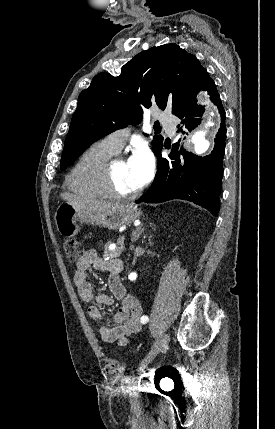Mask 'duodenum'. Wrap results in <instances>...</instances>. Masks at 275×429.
<instances>
[{"label":"duodenum","instance_id":"obj_1","mask_svg":"<svg viewBox=\"0 0 275 429\" xmlns=\"http://www.w3.org/2000/svg\"><path fill=\"white\" fill-rule=\"evenodd\" d=\"M121 269H122V264L120 263L117 267V271H121Z\"/></svg>","mask_w":275,"mask_h":429}]
</instances>
